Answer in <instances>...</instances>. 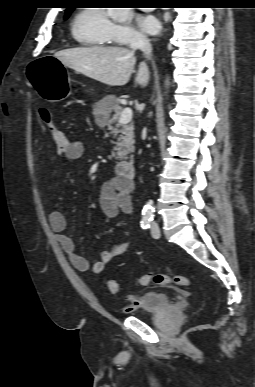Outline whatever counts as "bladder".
<instances>
[{
  "instance_id": "1",
  "label": "bladder",
  "mask_w": 255,
  "mask_h": 387,
  "mask_svg": "<svg viewBox=\"0 0 255 387\" xmlns=\"http://www.w3.org/2000/svg\"><path fill=\"white\" fill-rule=\"evenodd\" d=\"M139 304L131 310H125L127 314L141 316V315H155L163 310L172 307L171 298L164 292H147L140 296Z\"/></svg>"
}]
</instances>
